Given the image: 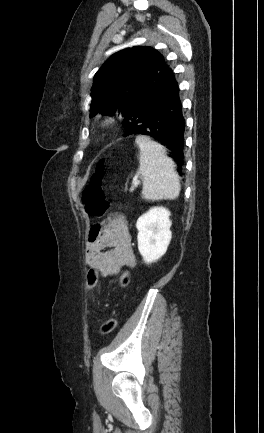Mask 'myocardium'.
<instances>
[{
    "mask_svg": "<svg viewBox=\"0 0 264 433\" xmlns=\"http://www.w3.org/2000/svg\"><path fill=\"white\" fill-rule=\"evenodd\" d=\"M114 124H115V118L112 116H107L100 121V123L98 124V129H102V130L109 129L112 126H114Z\"/></svg>",
    "mask_w": 264,
    "mask_h": 433,
    "instance_id": "1",
    "label": "myocardium"
}]
</instances>
